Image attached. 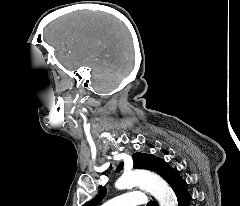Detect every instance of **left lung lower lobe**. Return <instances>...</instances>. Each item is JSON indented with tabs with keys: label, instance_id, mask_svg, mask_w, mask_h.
<instances>
[{
	"label": "left lung lower lobe",
	"instance_id": "left-lung-lower-lobe-1",
	"mask_svg": "<svg viewBox=\"0 0 240 206\" xmlns=\"http://www.w3.org/2000/svg\"><path fill=\"white\" fill-rule=\"evenodd\" d=\"M163 178L174 190L179 206H188L190 195L187 191V183L179 176L178 170L169 167L166 170ZM154 206H157V204L155 203Z\"/></svg>",
	"mask_w": 240,
	"mask_h": 206
}]
</instances>
